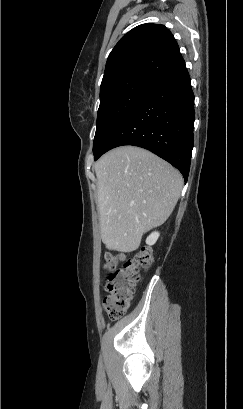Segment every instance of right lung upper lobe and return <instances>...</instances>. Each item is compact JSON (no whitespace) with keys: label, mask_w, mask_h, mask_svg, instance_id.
<instances>
[{"label":"right lung upper lobe","mask_w":243,"mask_h":409,"mask_svg":"<svg viewBox=\"0 0 243 409\" xmlns=\"http://www.w3.org/2000/svg\"><path fill=\"white\" fill-rule=\"evenodd\" d=\"M183 61L177 42L164 25L142 24L127 34L108 56L100 88L136 76L163 78Z\"/></svg>","instance_id":"right-lung-upper-lobe-1"}]
</instances>
